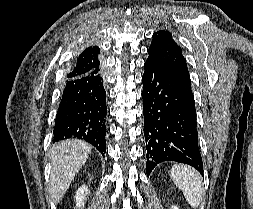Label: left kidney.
<instances>
[{
	"label": "left kidney",
	"mask_w": 253,
	"mask_h": 209,
	"mask_svg": "<svg viewBox=\"0 0 253 209\" xmlns=\"http://www.w3.org/2000/svg\"><path fill=\"white\" fill-rule=\"evenodd\" d=\"M171 209H179L177 206H173Z\"/></svg>",
	"instance_id": "5707ae66"
}]
</instances>
